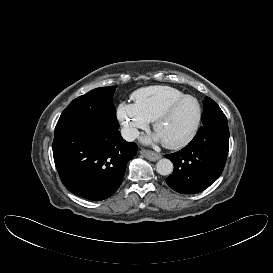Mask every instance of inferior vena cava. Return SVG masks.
<instances>
[{"label": "inferior vena cava", "mask_w": 273, "mask_h": 273, "mask_svg": "<svg viewBox=\"0 0 273 273\" xmlns=\"http://www.w3.org/2000/svg\"><path fill=\"white\" fill-rule=\"evenodd\" d=\"M121 135L124 140L132 142L138 137L139 131L136 128L124 127L121 129Z\"/></svg>", "instance_id": "602c4592"}]
</instances>
